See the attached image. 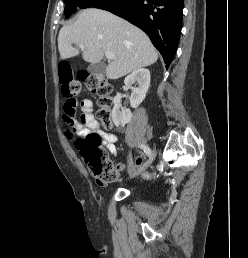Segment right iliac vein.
Masks as SVG:
<instances>
[{
    "label": "right iliac vein",
    "mask_w": 248,
    "mask_h": 258,
    "mask_svg": "<svg viewBox=\"0 0 248 258\" xmlns=\"http://www.w3.org/2000/svg\"><path fill=\"white\" fill-rule=\"evenodd\" d=\"M155 156H156V152L154 151L153 155L151 156V158L140 169H138L137 171L132 173L130 175V178H134V177L138 176L139 174H141L142 172H144L151 165V163L153 162Z\"/></svg>",
    "instance_id": "63e3f726"
}]
</instances>
